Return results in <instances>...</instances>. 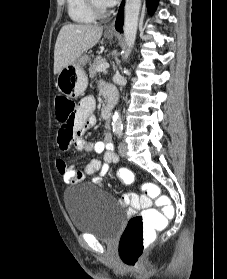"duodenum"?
<instances>
[{
    "label": "duodenum",
    "mask_w": 227,
    "mask_h": 279,
    "mask_svg": "<svg viewBox=\"0 0 227 279\" xmlns=\"http://www.w3.org/2000/svg\"><path fill=\"white\" fill-rule=\"evenodd\" d=\"M113 108H114V103L113 101L111 100L110 102H108L103 110H102V116L105 118V119H109L112 115V112H113Z\"/></svg>",
    "instance_id": "duodenum-1"
}]
</instances>
